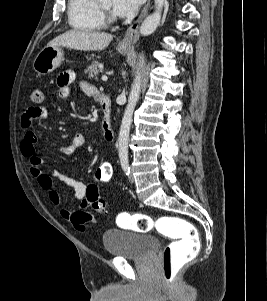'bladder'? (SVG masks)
Instances as JSON below:
<instances>
[{"label":"bladder","instance_id":"31cf9c89","mask_svg":"<svg viewBox=\"0 0 267 301\" xmlns=\"http://www.w3.org/2000/svg\"><path fill=\"white\" fill-rule=\"evenodd\" d=\"M102 242L109 255L127 259H144L159 248L156 236L121 229L106 230L102 235Z\"/></svg>","mask_w":267,"mask_h":301}]
</instances>
